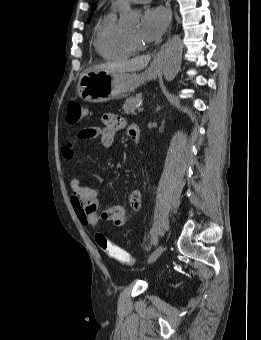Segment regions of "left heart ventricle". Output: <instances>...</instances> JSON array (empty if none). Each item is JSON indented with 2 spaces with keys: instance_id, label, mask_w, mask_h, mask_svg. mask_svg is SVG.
Masks as SVG:
<instances>
[{
  "instance_id": "obj_1",
  "label": "left heart ventricle",
  "mask_w": 261,
  "mask_h": 340,
  "mask_svg": "<svg viewBox=\"0 0 261 340\" xmlns=\"http://www.w3.org/2000/svg\"><path fill=\"white\" fill-rule=\"evenodd\" d=\"M129 36H131L133 39L143 43V40L141 39L140 35V29L139 27H135L127 32Z\"/></svg>"
}]
</instances>
